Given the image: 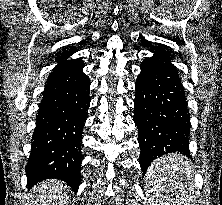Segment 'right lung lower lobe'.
Listing matches in <instances>:
<instances>
[{
    "mask_svg": "<svg viewBox=\"0 0 222 205\" xmlns=\"http://www.w3.org/2000/svg\"><path fill=\"white\" fill-rule=\"evenodd\" d=\"M89 93L90 80L82 68L48 78L26 165L29 188L55 178L78 190L81 138L90 105Z\"/></svg>",
    "mask_w": 222,
    "mask_h": 205,
    "instance_id": "1",
    "label": "right lung lower lobe"
}]
</instances>
